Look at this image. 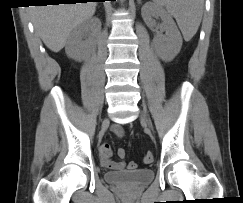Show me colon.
Returning <instances> with one entry per match:
<instances>
[{
	"instance_id": "obj_1",
	"label": "colon",
	"mask_w": 243,
	"mask_h": 203,
	"mask_svg": "<svg viewBox=\"0 0 243 203\" xmlns=\"http://www.w3.org/2000/svg\"><path fill=\"white\" fill-rule=\"evenodd\" d=\"M119 154H120V155H125V150H124V149H120V150H119ZM153 160H154V155H153L152 152H147V153L145 154L144 158H143V161H144L145 163H152ZM128 168H129L130 170L135 169V168H136V163H134V162H130V163L128 164Z\"/></svg>"
}]
</instances>
